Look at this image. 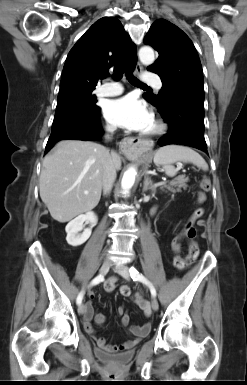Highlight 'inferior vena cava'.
<instances>
[{"instance_id": "1", "label": "inferior vena cava", "mask_w": 247, "mask_h": 385, "mask_svg": "<svg viewBox=\"0 0 247 385\" xmlns=\"http://www.w3.org/2000/svg\"><path fill=\"white\" fill-rule=\"evenodd\" d=\"M114 130L115 128L112 126H108L106 128V131H107V134L105 135L106 140H109L111 138L110 134H112ZM115 178H116V169L114 167L111 156L107 154L104 157L103 175H102V186H103L104 194H107L111 191Z\"/></svg>"}]
</instances>
